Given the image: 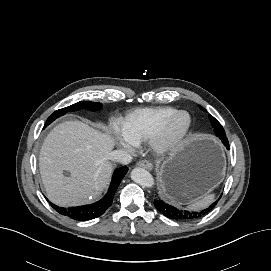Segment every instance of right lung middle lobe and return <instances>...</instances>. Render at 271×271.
<instances>
[{
    "mask_svg": "<svg viewBox=\"0 0 271 271\" xmlns=\"http://www.w3.org/2000/svg\"><path fill=\"white\" fill-rule=\"evenodd\" d=\"M102 106L101 103H97V102H90V101H80L78 103H75L71 106L59 109L57 111H55L52 115H50V117L47 119L46 123H45V127L48 126L50 123H52L56 118L64 115L67 112L70 111H77L79 109L82 108H88L91 111H95L100 109Z\"/></svg>",
    "mask_w": 271,
    "mask_h": 271,
    "instance_id": "right-lung-middle-lobe-1",
    "label": "right lung middle lobe"
}]
</instances>
